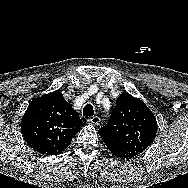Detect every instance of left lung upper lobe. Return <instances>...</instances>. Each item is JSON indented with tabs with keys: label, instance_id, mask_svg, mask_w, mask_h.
<instances>
[{
	"label": "left lung upper lobe",
	"instance_id": "left-lung-upper-lobe-1",
	"mask_svg": "<svg viewBox=\"0 0 188 188\" xmlns=\"http://www.w3.org/2000/svg\"><path fill=\"white\" fill-rule=\"evenodd\" d=\"M157 122L154 114L140 99L129 93L117 98L109 122L99 129L105 144L128 158L142 153L155 140Z\"/></svg>",
	"mask_w": 188,
	"mask_h": 188
}]
</instances>
